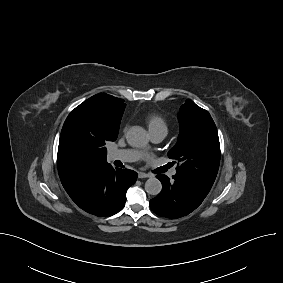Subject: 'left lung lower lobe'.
Returning <instances> with one entry per match:
<instances>
[{
  "label": "left lung lower lobe",
  "mask_w": 283,
  "mask_h": 283,
  "mask_svg": "<svg viewBox=\"0 0 283 283\" xmlns=\"http://www.w3.org/2000/svg\"><path fill=\"white\" fill-rule=\"evenodd\" d=\"M162 183V191L152 200L150 208L159 216L176 219L195 210L209 192L193 181L179 175L172 180L164 174L156 176Z\"/></svg>",
  "instance_id": "left-lung-lower-lobe-1"
}]
</instances>
